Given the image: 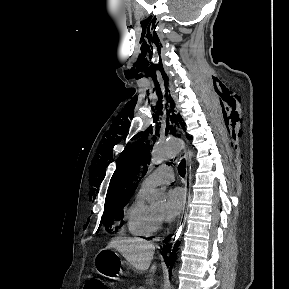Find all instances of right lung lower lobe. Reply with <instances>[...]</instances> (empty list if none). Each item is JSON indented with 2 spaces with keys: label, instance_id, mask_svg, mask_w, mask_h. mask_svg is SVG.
I'll use <instances>...</instances> for the list:
<instances>
[{
  "label": "right lung lower lobe",
  "instance_id": "1",
  "mask_svg": "<svg viewBox=\"0 0 289 289\" xmlns=\"http://www.w3.org/2000/svg\"><path fill=\"white\" fill-rule=\"evenodd\" d=\"M168 240H169V239H168ZM175 247H176V245H175ZM175 247L173 248L172 253H171L170 256L168 257V258H169V261H167V264L170 265L169 271H171V268L173 267V264H174V261H175V251H177V248L175 249ZM171 248H172V245H171V244H166V245L163 247V252H164V254H166V252H169Z\"/></svg>",
  "mask_w": 289,
  "mask_h": 289
}]
</instances>
